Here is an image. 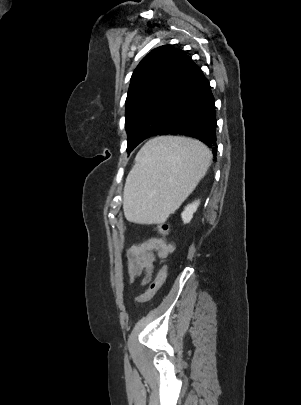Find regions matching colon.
<instances>
[{
  "instance_id": "obj_1",
  "label": "colon",
  "mask_w": 301,
  "mask_h": 405,
  "mask_svg": "<svg viewBox=\"0 0 301 405\" xmlns=\"http://www.w3.org/2000/svg\"><path fill=\"white\" fill-rule=\"evenodd\" d=\"M157 229L159 233H161L162 235H168L170 231V227L167 223L158 224ZM166 276H167V265L163 264L159 269L155 280L150 284L149 288L143 294L135 298V302L145 303L150 301L165 282Z\"/></svg>"
}]
</instances>
